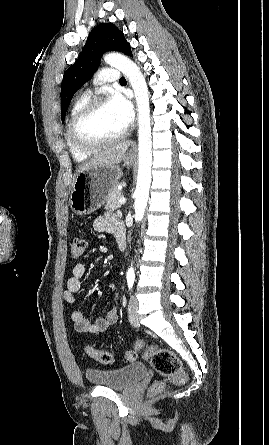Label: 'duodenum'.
Listing matches in <instances>:
<instances>
[{
    "label": "duodenum",
    "mask_w": 269,
    "mask_h": 445,
    "mask_svg": "<svg viewBox=\"0 0 269 445\" xmlns=\"http://www.w3.org/2000/svg\"><path fill=\"white\" fill-rule=\"evenodd\" d=\"M116 239L118 242V247L120 251H124L126 248V235H125V231H120L117 235H116Z\"/></svg>",
    "instance_id": "obj_1"
}]
</instances>
